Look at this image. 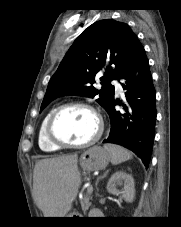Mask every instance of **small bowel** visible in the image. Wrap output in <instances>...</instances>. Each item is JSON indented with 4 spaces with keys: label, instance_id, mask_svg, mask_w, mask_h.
<instances>
[{
    "label": "small bowel",
    "instance_id": "small-bowel-1",
    "mask_svg": "<svg viewBox=\"0 0 181 227\" xmlns=\"http://www.w3.org/2000/svg\"><path fill=\"white\" fill-rule=\"evenodd\" d=\"M91 214H92V215H99V212H98L97 210H92V211H91Z\"/></svg>",
    "mask_w": 181,
    "mask_h": 227
}]
</instances>
